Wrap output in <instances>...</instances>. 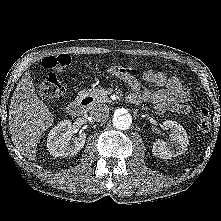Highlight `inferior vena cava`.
<instances>
[{
  "instance_id": "obj_1",
  "label": "inferior vena cava",
  "mask_w": 221,
  "mask_h": 221,
  "mask_svg": "<svg viewBox=\"0 0 221 221\" xmlns=\"http://www.w3.org/2000/svg\"><path fill=\"white\" fill-rule=\"evenodd\" d=\"M90 116L97 122L106 121L109 117V107L105 104H98L91 109Z\"/></svg>"
}]
</instances>
